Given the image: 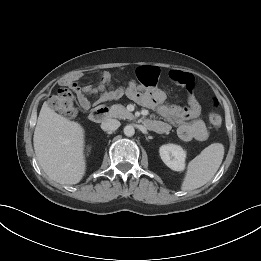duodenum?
Instances as JSON below:
<instances>
[{"label":"duodenum","mask_w":261,"mask_h":261,"mask_svg":"<svg viewBox=\"0 0 261 261\" xmlns=\"http://www.w3.org/2000/svg\"><path fill=\"white\" fill-rule=\"evenodd\" d=\"M108 115L109 109L105 106H99L91 112L90 119L93 122L100 123L104 121L108 117ZM146 125L151 129H154L156 127V123L154 121H146Z\"/></svg>","instance_id":"duodenum-1"}]
</instances>
